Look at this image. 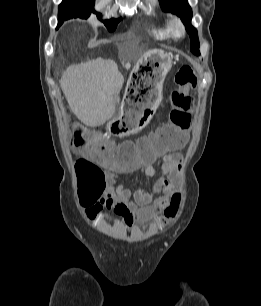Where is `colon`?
I'll return each mask as SVG.
<instances>
[{
	"mask_svg": "<svg viewBox=\"0 0 261 306\" xmlns=\"http://www.w3.org/2000/svg\"><path fill=\"white\" fill-rule=\"evenodd\" d=\"M174 80L177 88L171 93L170 121L137 145L126 143L119 152L113 151L110 138L121 135L124 130L121 125L110 132L96 134H89L81 126L74 127L72 145L82 153L75 163V170L86 198L100 197L105 192L104 168H131L140 163H151L159 155L180 146L192 121L194 101L190 92L197 84V76L194 69L186 65L176 72Z\"/></svg>",
	"mask_w": 261,
	"mask_h": 306,
	"instance_id": "5ec220e1",
	"label": "colon"
}]
</instances>
